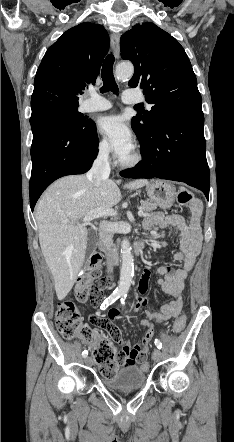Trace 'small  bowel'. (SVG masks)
I'll return each instance as SVG.
<instances>
[{
  "label": "small bowel",
  "instance_id": "1",
  "mask_svg": "<svg viewBox=\"0 0 234 442\" xmlns=\"http://www.w3.org/2000/svg\"><path fill=\"white\" fill-rule=\"evenodd\" d=\"M191 216L188 222L179 214L163 215L162 213H153L144 220V227L149 229L157 226L159 228L172 227L180 239V249L174 253L173 260L179 263L176 269L168 266H159L157 273L161 275L158 279V284L162 291L173 297V300L163 304L158 311L145 309L147 300L145 294L148 289L150 280L149 269H144L138 283V291L140 297L133 305L134 311L144 310L145 315L156 322L162 323L177 317L183 306V289L188 272L193 267L196 258L201 249L202 235L199 225V220L202 214V205L199 200H195L190 205ZM119 316V311L112 309L109 314H91L89 316L90 326L92 328H102L107 331L108 336L113 337L112 341L115 344L122 342L120 335V328L114 322V319ZM143 325L148 327L141 345L132 346L129 342L123 343L122 354L125 361V366L134 370L138 365L142 364L145 357H147L146 350L149 347V342L153 337L154 330L152 325L144 320Z\"/></svg>",
  "mask_w": 234,
  "mask_h": 442
}]
</instances>
